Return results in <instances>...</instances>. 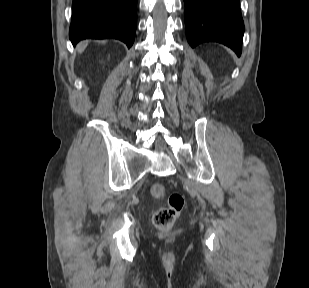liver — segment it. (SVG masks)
<instances>
[{
    "label": "liver",
    "instance_id": "obj_1",
    "mask_svg": "<svg viewBox=\"0 0 309 288\" xmlns=\"http://www.w3.org/2000/svg\"><path fill=\"white\" fill-rule=\"evenodd\" d=\"M86 46H87V43L85 42L80 43L77 47L78 52L82 53L85 50Z\"/></svg>",
    "mask_w": 309,
    "mask_h": 288
}]
</instances>
